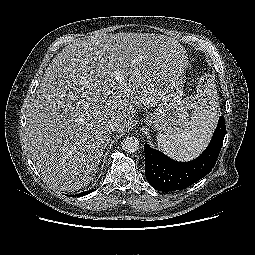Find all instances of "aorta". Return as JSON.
Instances as JSON below:
<instances>
[{"mask_svg": "<svg viewBox=\"0 0 255 255\" xmlns=\"http://www.w3.org/2000/svg\"><path fill=\"white\" fill-rule=\"evenodd\" d=\"M121 146L125 152L134 153L139 149V141L134 136H128L123 139Z\"/></svg>", "mask_w": 255, "mask_h": 255, "instance_id": "obj_1", "label": "aorta"}]
</instances>
